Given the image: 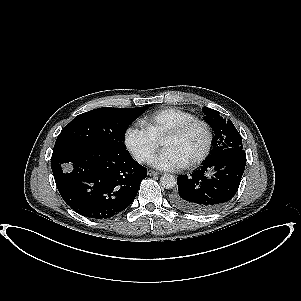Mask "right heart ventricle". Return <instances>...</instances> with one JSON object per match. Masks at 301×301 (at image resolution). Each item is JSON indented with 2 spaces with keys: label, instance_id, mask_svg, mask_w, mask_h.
<instances>
[{
  "label": "right heart ventricle",
  "instance_id": "e07e8e85",
  "mask_svg": "<svg viewBox=\"0 0 301 301\" xmlns=\"http://www.w3.org/2000/svg\"><path fill=\"white\" fill-rule=\"evenodd\" d=\"M194 118L191 113L179 108H167L147 118L144 125L156 140H160L168 130Z\"/></svg>",
  "mask_w": 301,
  "mask_h": 301
}]
</instances>
